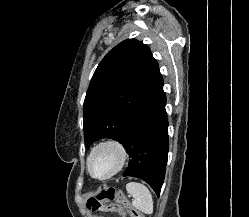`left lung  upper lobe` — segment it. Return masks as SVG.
Here are the masks:
<instances>
[{"instance_id": "left-lung-upper-lobe-1", "label": "left lung upper lobe", "mask_w": 249, "mask_h": 217, "mask_svg": "<svg viewBox=\"0 0 249 217\" xmlns=\"http://www.w3.org/2000/svg\"><path fill=\"white\" fill-rule=\"evenodd\" d=\"M160 77L157 61L142 42L128 39L109 51L95 70L84 101L86 147L105 137L120 141L127 115Z\"/></svg>"}]
</instances>
